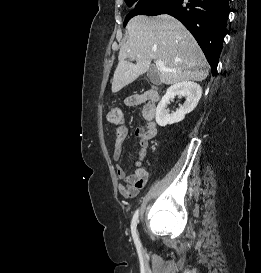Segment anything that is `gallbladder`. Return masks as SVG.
I'll return each instance as SVG.
<instances>
[{"label": "gallbladder", "instance_id": "1", "mask_svg": "<svg viewBox=\"0 0 261 273\" xmlns=\"http://www.w3.org/2000/svg\"><path fill=\"white\" fill-rule=\"evenodd\" d=\"M147 77L153 84H158L160 82L158 72L154 67H150V69L147 72Z\"/></svg>", "mask_w": 261, "mask_h": 273}]
</instances>
